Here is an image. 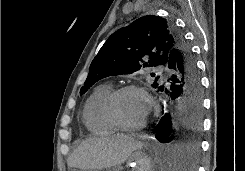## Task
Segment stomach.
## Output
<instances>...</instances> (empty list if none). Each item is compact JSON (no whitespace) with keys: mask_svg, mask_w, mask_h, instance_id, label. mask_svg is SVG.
I'll list each match as a JSON object with an SVG mask.
<instances>
[{"mask_svg":"<svg viewBox=\"0 0 245 171\" xmlns=\"http://www.w3.org/2000/svg\"><path fill=\"white\" fill-rule=\"evenodd\" d=\"M129 163L133 166V171H154L155 161H153L150 157H148L142 148L136 150L131 154ZM69 171H92V170L70 169ZM113 171H119V169H113Z\"/></svg>","mask_w":245,"mask_h":171,"instance_id":"0dacf381","label":"stomach"}]
</instances>
